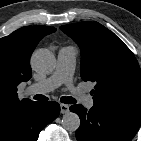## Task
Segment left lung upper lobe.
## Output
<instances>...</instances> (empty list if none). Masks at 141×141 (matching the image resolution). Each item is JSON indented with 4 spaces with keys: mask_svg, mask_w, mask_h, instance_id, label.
<instances>
[{
    "mask_svg": "<svg viewBox=\"0 0 141 141\" xmlns=\"http://www.w3.org/2000/svg\"><path fill=\"white\" fill-rule=\"evenodd\" d=\"M82 52L81 77L95 82L94 105L141 119V70L130 49L98 22L61 26Z\"/></svg>",
    "mask_w": 141,
    "mask_h": 141,
    "instance_id": "5c2ea615",
    "label": "left lung upper lobe"
}]
</instances>
